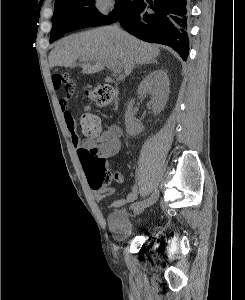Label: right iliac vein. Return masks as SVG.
<instances>
[{
	"mask_svg": "<svg viewBox=\"0 0 245 300\" xmlns=\"http://www.w3.org/2000/svg\"><path fill=\"white\" fill-rule=\"evenodd\" d=\"M158 194L157 192H154L148 199L140 201L141 205H136L133 209H134V215H139L141 214L145 208H147L148 206L154 204L157 200Z\"/></svg>",
	"mask_w": 245,
	"mask_h": 300,
	"instance_id": "63e3f726",
	"label": "right iliac vein"
}]
</instances>
